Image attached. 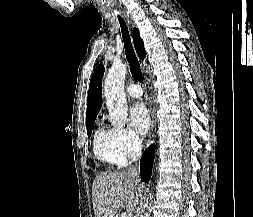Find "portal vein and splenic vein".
Listing matches in <instances>:
<instances>
[{"label": "portal vein and splenic vein", "mask_w": 253, "mask_h": 217, "mask_svg": "<svg viewBox=\"0 0 253 217\" xmlns=\"http://www.w3.org/2000/svg\"><path fill=\"white\" fill-rule=\"evenodd\" d=\"M121 217H131V216H126V214H123Z\"/></svg>", "instance_id": "obj_1"}]
</instances>
